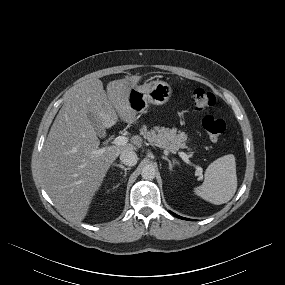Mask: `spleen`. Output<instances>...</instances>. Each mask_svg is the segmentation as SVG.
I'll return each instance as SVG.
<instances>
[{
    "mask_svg": "<svg viewBox=\"0 0 285 285\" xmlns=\"http://www.w3.org/2000/svg\"><path fill=\"white\" fill-rule=\"evenodd\" d=\"M237 190L236 162L233 154L213 161L205 171L203 184L194 192L204 200L220 205L231 200Z\"/></svg>",
    "mask_w": 285,
    "mask_h": 285,
    "instance_id": "spleen-1",
    "label": "spleen"
}]
</instances>
